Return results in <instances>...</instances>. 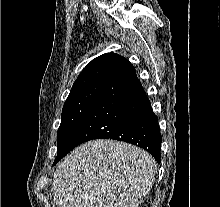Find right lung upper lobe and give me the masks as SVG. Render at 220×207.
Returning a JSON list of instances; mask_svg holds the SVG:
<instances>
[{
    "mask_svg": "<svg viewBox=\"0 0 220 207\" xmlns=\"http://www.w3.org/2000/svg\"><path fill=\"white\" fill-rule=\"evenodd\" d=\"M132 66L131 63L121 55L106 53L93 59L79 74L71 90L80 88L87 84L105 81L107 78Z\"/></svg>",
    "mask_w": 220,
    "mask_h": 207,
    "instance_id": "cb5924a9",
    "label": "right lung upper lobe"
}]
</instances>
